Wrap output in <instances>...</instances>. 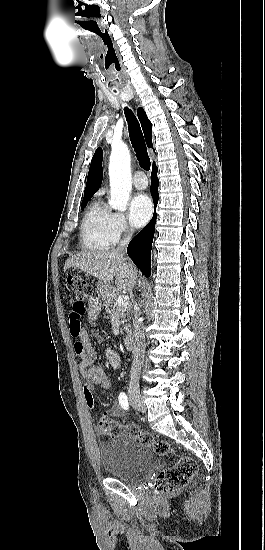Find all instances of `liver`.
<instances>
[{"label":"liver","instance_id":"1","mask_svg":"<svg viewBox=\"0 0 265 550\" xmlns=\"http://www.w3.org/2000/svg\"><path fill=\"white\" fill-rule=\"evenodd\" d=\"M74 267L84 271L100 281L99 292L105 297L109 294L110 282L115 277L114 290L132 291L137 271L131 261L123 254L113 251L84 252L69 258L64 266V271Z\"/></svg>","mask_w":265,"mask_h":550}]
</instances>
